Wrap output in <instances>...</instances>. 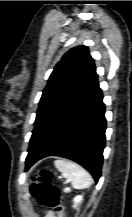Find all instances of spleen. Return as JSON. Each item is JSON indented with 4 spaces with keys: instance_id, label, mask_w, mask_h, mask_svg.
Instances as JSON below:
<instances>
[{
    "instance_id": "1",
    "label": "spleen",
    "mask_w": 132,
    "mask_h": 217,
    "mask_svg": "<svg viewBox=\"0 0 132 217\" xmlns=\"http://www.w3.org/2000/svg\"><path fill=\"white\" fill-rule=\"evenodd\" d=\"M55 167L62 173V175L71 181L74 189L88 188L92 184L91 175L80 165L75 162L59 159L54 162ZM64 192H70L69 188H65Z\"/></svg>"
}]
</instances>
